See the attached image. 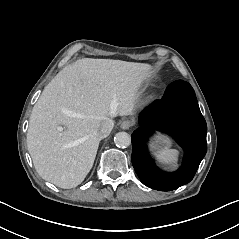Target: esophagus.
<instances>
[{
  "label": "esophagus",
  "instance_id": "1",
  "mask_svg": "<svg viewBox=\"0 0 239 239\" xmlns=\"http://www.w3.org/2000/svg\"><path fill=\"white\" fill-rule=\"evenodd\" d=\"M134 122L131 120H125L121 123L120 127L123 130H128L131 126H133Z\"/></svg>",
  "mask_w": 239,
  "mask_h": 239
}]
</instances>
